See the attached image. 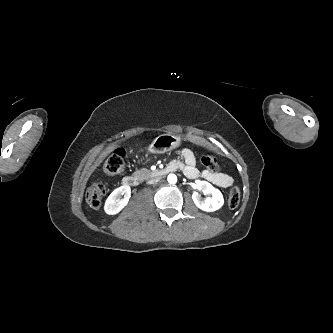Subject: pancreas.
I'll return each instance as SVG.
<instances>
[{
  "mask_svg": "<svg viewBox=\"0 0 333 333\" xmlns=\"http://www.w3.org/2000/svg\"><path fill=\"white\" fill-rule=\"evenodd\" d=\"M133 176L136 179H138L139 181H143V180L147 179L150 176V171L143 168L141 170H138V171L134 172Z\"/></svg>",
  "mask_w": 333,
  "mask_h": 333,
  "instance_id": "1",
  "label": "pancreas"
}]
</instances>
